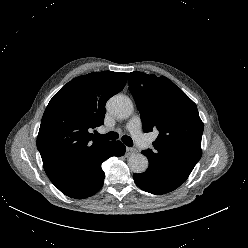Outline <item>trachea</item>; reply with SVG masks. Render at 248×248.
<instances>
[{
    "label": "trachea",
    "instance_id": "1",
    "mask_svg": "<svg viewBox=\"0 0 248 248\" xmlns=\"http://www.w3.org/2000/svg\"><path fill=\"white\" fill-rule=\"evenodd\" d=\"M96 136L99 137V138H101V139H109V140H116L119 137L118 133L117 132H114V131L108 132L107 134L96 133ZM122 141L128 147H132L133 146V140L131 139V137H129L127 135H124L122 137Z\"/></svg>",
    "mask_w": 248,
    "mask_h": 248
}]
</instances>
